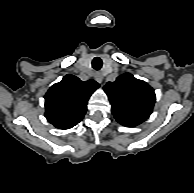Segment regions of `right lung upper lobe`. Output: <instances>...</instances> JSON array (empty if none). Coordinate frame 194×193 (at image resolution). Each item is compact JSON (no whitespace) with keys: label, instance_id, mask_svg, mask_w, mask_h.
<instances>
[{"label":"right lung upper lobe","instance_id":"obj_1","mask_svg":"<svg viewBox=\"0 0 194 193\" xmlns=\"http://www.w3.org/2000/svg\"><path fill=\"white\" fill-rule=\"evenodd\" d=\"M99 87L94 80L81 81L66 75L45 95V117L59 129H69L79 123L87 109V101Z\"/></svg>","mask_w":194,"mask_h":193}]
</instances>
